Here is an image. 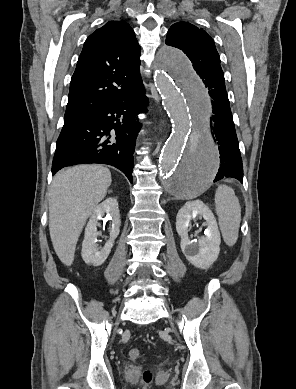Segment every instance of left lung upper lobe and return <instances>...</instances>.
Returning <instances> with one entry per match:
<instances>
[{"instance_id":"obj_1","label":"left lung upper lobe","mask_w":296,"mask_h":389,"mask_svg":"<svg viewBox=\"0 0 296 389\" xmlns=\"http://www.w3.org/2000/svg\"><path fill=\"white\" fill-rule=\"evenodd\" d=\"M166 44L182 50L200 78L223 74L214 41L203 29L189 22L175 23L167 33Z\"/></svg>"}]
</instances>
